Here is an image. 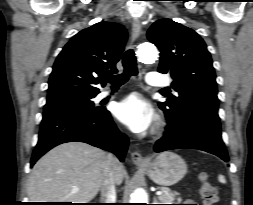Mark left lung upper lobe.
<instances>
[{"mask_svg": "<svg viewBox=\"0 0 253 205\" xmlns=\"http://www.w3.org/2000/svg\"><path fill=\"white\" fill-rule=\"evenodd\" d=\"M147 37L160 49L158 71L171 75V86L178 93L159 103L165 115L176 118L198 109L218 111L216 76L202 38L167 18L156 21Z\"/></svg>", "mask_w": 253, "mask_h": 205, "instance_id": "5c2ea615", "label": "left lung upper lobe"}]
</instances>
